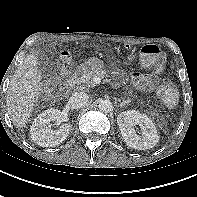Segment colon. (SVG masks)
Instances as JSON below:
<instances>
[{"label":"colon","mask_w":197,"mask_h":197,"mask_svg":"<svg viewBox=\"0 0 197 197\" xmlns=\"http://www.w3.org/2000/svg\"><path fill=\"white\" fill-rule=\"evenodd\" d=\"M68 60L69 57L64 55V63H67ZM141 61L144 66L153 67L156 72H162L165 68L166 59L163 51L157 45L147 44L141 49ZM158 94L168 106H175L178 102L177 89L168 79L161 83Z\"/></svg>","instance_id":"1"}]
</instances>
